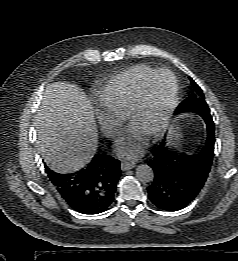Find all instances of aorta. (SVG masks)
<instances>
[{"mask_svg":"<svg viewBox=\"0 0 238 261\" xmlns=\"http://www.w3.org/2000/svg\"><path fill=\"white\" fill-rule=\"evenodd\" d=\"M136 177L139 181L147 183L153 180L154 171L149 165L142 164L139 165L136 169Z\"/></svg>","mask_w":238,"mask_h":261,"instance_id":"762f6f07","label":"aorta"}]
</instances>
